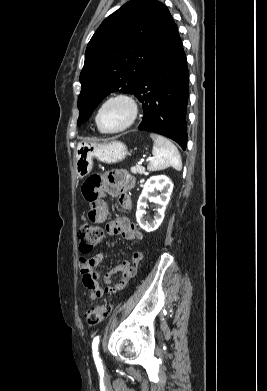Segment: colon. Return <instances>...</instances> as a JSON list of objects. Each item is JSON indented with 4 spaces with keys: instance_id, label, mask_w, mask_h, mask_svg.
Listing matches in <instances>:
<instances>
[{
    "instance_id": "5ec220e1",
    "label": "colon",
    "mask_w": 267,
    "mask_h": 391,
    "mask_svg": "<svg viewBox=\"0 0 267 391\" xmlns=\"http://www.w3.org/2000/svg\"><path fill=\"white\" fill-rule=\"evenodd\" d=\"M80 252L87 254L93 251L101 241L103 230L100 225L91 222L82 223L78 230ZM112 308L110 303L90 304L85 312V318L90 325H96L102 322Z\"/></svg>"
}]
</instances>
